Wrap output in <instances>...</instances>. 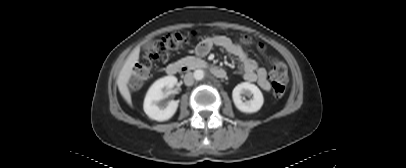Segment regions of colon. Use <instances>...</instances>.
<instances>
[{
    "instance_id": "1",
    "label": "colon",
    "mask_w": 406,
    "mask_h": 168,
    "mask_svg": "<svg viewBox=\"0 0 406 168\" xmlns=\"http://www.w3.org/2000/svg\"><path fill=\"white\" fill-rule=\"evenodd\" d=\"M193 36L194 33H174L158 40L153 48L141 56L139 61L135 64L131 75V84L138 86L150 75L152 68L158 61L164 58L169 52L179 50ZM241 41L245 45L251 43V39L248 36H242ZM270 76L274 95L276 97H282L288 85L286 66L281 62H275L271 69Z\"/></svg>"
}]
</instances>
